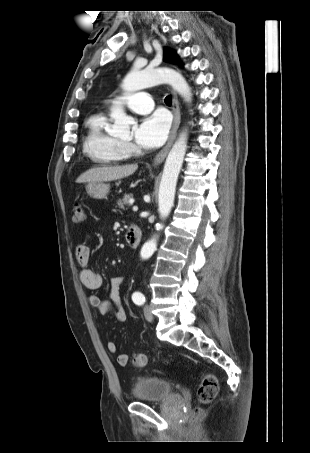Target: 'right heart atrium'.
Instances as JSON below:
<instances>
[{"mask_svg": "<svg viewBox=\"0 0 310 453\" xmlns=\"http://www.w3.org/2000/svg\"><path fill=\"white\" fill-rule=\"evenodd\" d=\"M124 148L127 151V153L132 152L133 149H134L133 145L131 143H128V142L124 143Z\"/></svg>", "mask_w": 310, "mask_h": 453, "instance_id": "1", "label": "right heart atrium"}]
</instances>
